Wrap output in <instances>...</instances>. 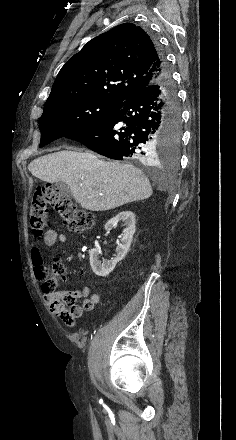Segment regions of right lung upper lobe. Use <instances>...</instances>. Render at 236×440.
Instances as JSON below:
<instances>
[{
	"label": "right lung upper lobe",
	"instance_id": "1",
	"mask_svg": "<svg viewBox=\"0 0 236 440\" xmlns=\"http://www.w3.org/2000/svg\"><path fill=\"white\" fill-rule=\"evenodd\" d=\"M161 75L155 42L141 27L124 23L90 40L62 67L46 102L122 103Z\"/></svg>",
	"mask_w": 236,
	"mask_h": 440
}]
</instances>
